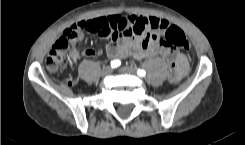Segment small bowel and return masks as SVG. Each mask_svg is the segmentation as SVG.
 I'll use <instances>...</instances> for the list:
<instances>
[{"label": "small bowel", "instance_id": "small-bowel-1", "mask_svg": "<svg viewBox=\"0 0 245 145\" xmlns=\"http://www.w3.org/2000/svg\"><path fill=\"white\" fill-rule=\"evenodd\" d=\"M91 25L89 31L97 33L109 40L107 54L114 60L127 57L143 59L160 55L164 57L174 69L169 74V81L179 82L187 73L189 67V53L187 51L173 50L166 45H156L152 38H146V34L163 35L171 26L166 19L155 16L129 15L100 16L90 20H82L69 28L78 29L76 34L69 38L70 59L72 62L81 57H93L101 53L93 48L80 49L79 41L83 37L81 28ZM119 33L121 37L119 38Z\"/></svg>", "mask_w": 245, "mask_h": 145}]
</instances>
